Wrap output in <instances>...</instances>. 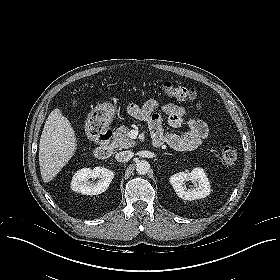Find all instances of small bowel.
Returning <instances> with one entry per match:
<instances>
[{"label": "small bowel", "instance_id": "1", "mask_svg": "<svg viewBox=\"0 0 280 280\" xmlns=\"http://www.w3.org/2000/svg\"><path fill=\"white\" fill-rule=\"evenodd\" d=\"M157 108L165 114L170 127L179 128L185 125L188 130L181 133L165 132L162 116L155 112ZM196 108L198 111L202 109L201 101L197 103ZM127 111L132 117L149 124L153 138L161 139L177 151H191L201 145L209 135L208 126L202 119L191 116L185 107L173 103L150 99L142 106L129 104Z\"/></svg>", "mask_w": 280, "mask_h": 280}]
</instances>
